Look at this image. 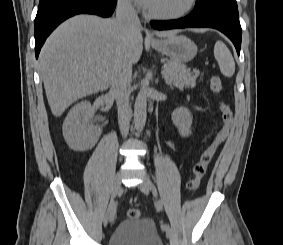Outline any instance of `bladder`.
Returning a JSON list of instances; mask_svg holds the SVG:
<instances>
[{"label": "bladder", "instance_id": "bladder-1", "mask_svg": "<svg viewBox=\"0 0 283 245\" xmlns=\"http://www.w3.org/2000/svg\"><path fill=\"white\" fill-rule=\"evenodd\" d=\"M108 245H163L152 219H126L112 231Z\"/></svg>", "mask_w": 283, "mask_h": 245}]
</instances>
